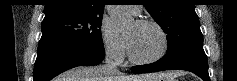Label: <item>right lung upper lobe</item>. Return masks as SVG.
<instances>
[{
  "label": "right lung upper lobe",
  "instance_id": "cb5924a9",
  "mask_svg": "<svg viewBox=\"0 0 237 81\" xmlns=\"http://www.w3.org/2000/svg\"><path fill=\"white\" fill-rule=\"evenodd\" d=\"M106 0H48L45 18L61 15L102 16Z\"/></svg>",
  "mask_w": 237,
  "mask_h": 81
}]
</instances>
